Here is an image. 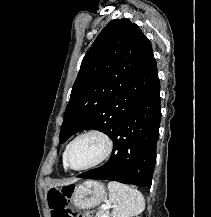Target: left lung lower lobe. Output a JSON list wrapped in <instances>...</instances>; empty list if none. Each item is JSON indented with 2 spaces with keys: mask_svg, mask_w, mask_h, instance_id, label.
<instances>
[{
  "mask_svg": "<svg viewBox=\"0 0 211 217\" xmlns=\"http://www.w3.org/2000/svg\"><path fill=\"white\" fill-rule=\"evenodd\" d=\"M159 80L114 127L113 152L103 166L77 177L150 188L161 120Z\"/></svg>",
  "mask_w": 211,
  "mask_h": 217,
  "instance_id": "obj_1",
  "label": "left lung lower lobe"
}]
</instances>
